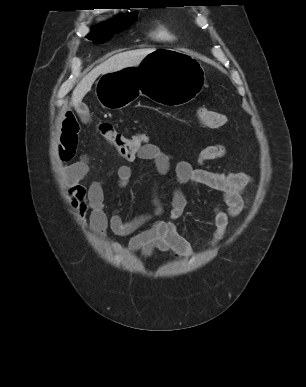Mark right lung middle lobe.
<instances>
[{
  "label": "right lung middle lobe",
  "mask_w": 306,
  "mask_h": 387,
  "mask_svg": "<svg viewBox=\"0 0 306 387\" xmlns=\"http://www.w3.org/2000/svg\"><path fill=\"white\" fill-rule=\"evenodd\" d=\"M135 20V16L128 18L119 17L111 22L93 28L92 31L87 35V38L97 44L104 43L110 40L113 34L127 29Z\"/></svg>",
  "instance_id": "right-lung-middle-lobe-1"
}]
</instances>
